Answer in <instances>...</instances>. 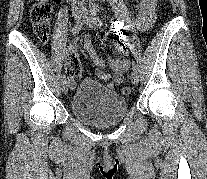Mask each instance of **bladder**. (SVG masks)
I'll return each instance as SVG.
<instances>
[{
    "instance_id": "bladder-1",
    "label": "bladder",
    "mask_w": 207,
    "mask_h": 179,
    "mask_svg": "<svg viewBox=\"0 0 207 179\" xmlns=\"http://www.w3.org/2000/svg\"><path fill=\"white\" fill-rule=\"evenodd\" d=\"M70 107L72 114L83 123L105 126L122 120L129 104L117 92L92 80H84L76 89Z\"/></svg>"
}]
</instances>
